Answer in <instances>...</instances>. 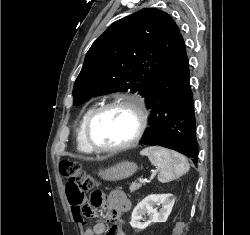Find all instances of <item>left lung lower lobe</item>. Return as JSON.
<instances>
[{
    "instance_id": "left-lung-lower-lobe-1",
    "label": "left lung lower lobe",
    "mask_w": 250,
    "mask_h": 235,
    "mask_svg": "<svg viewBox=\"0 0 250 235\" xmlns=\"http://www.w3.org/2000/svg\"><path fill=\"white\" fill-rule=\"evenodd\" d=\"M189 79V61L180 34L145 95L151 109L150 126L140 143L175 150L192 158L197 165L193 93Z\"/></svg>"
}]
</instances>
